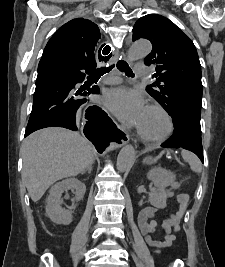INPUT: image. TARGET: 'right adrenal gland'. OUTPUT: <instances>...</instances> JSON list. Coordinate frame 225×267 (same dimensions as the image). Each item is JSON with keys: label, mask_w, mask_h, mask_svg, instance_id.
I'll list each match as a JSON object with an SVG mask.
<instances>
[{"label": "right adrenal gland", "mask_w": 225, "mask_h": 267, "mask_svg": "<svg viewBox=\"0 0 225 267\" xmlns=\"http://www.w3.org/2000/svg\"><path fill=\"white\" fill-rule=\"evenodd\" d=\"M94 162H95V159L93 160V163L87 168V170L84 171L82 174H85L86 172H88V174L90 175L92 172V165L94 164Z\"/></svg>", "instance_id": "1"}]
</instances>
